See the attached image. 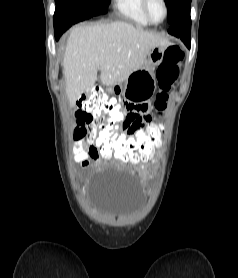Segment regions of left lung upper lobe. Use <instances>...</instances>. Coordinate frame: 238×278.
<instances>
[{
    "label": "left lung upper lobe",
    "instance_id": "left-lung-upper-lobe-1",
    "mask_svg": "<svg viewBox=\"0 0 238 278\" xmlns=\"http://www.w3.org/2000/svg\"><path fill=\"white\" fill-rule=\"evenodd\" d=\"M168 3V22L171 24L177 16L191 4V0H167Z\"/></svg>",
    "mask_w": 238,
    "mask_h": 278
}]
</instances>
